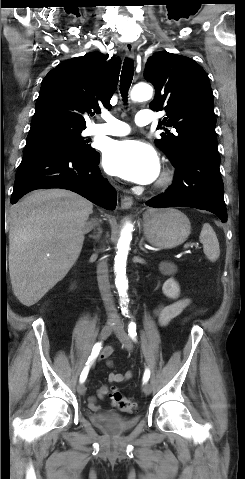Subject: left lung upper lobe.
I'll use <instances>...</instances> for the list:
<instances>
[{"instance_id":"left-lung-upper-lobe-1","label":"left lung upper lobe","mask_w":245,"mask_h":479,"mask_svg":"<svg viewBox=\"0 0 245 479\" xmlns=\"http://www.w3.org/2000/svg\"><path fill=\"white\" fill-rule=\"evenodd\" d=\"M145 79L156 90L150 103L152 110H165V129L155 144L173 165L187 153L200 149H217L214 100L208 77L191 58L161 51L149 57Z\"/></svg>"}]
</instances>
